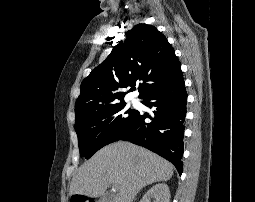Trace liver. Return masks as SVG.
<instances>
[{"label": "liver", "mask_w": 255, "mask_h": 202, "mask_svg": "<svg viewBox=\"0 0 255 202\" xmlns=\"http://www.w3.org/2000/svg\"><path fill=\"white\" fill-rule=\"evenodd\" d=\"M173 165L130 142L118 141L100 149L73 177L69 195L99 197L109 185L117 191L113 202H133L145 186L169 180Z\"/></svg>", "instance_id": "1"}]
</instances>
